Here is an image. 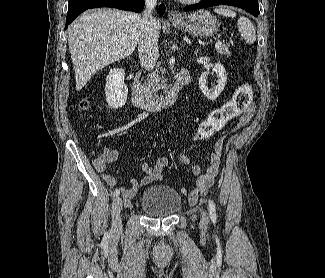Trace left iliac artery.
Masks as SVG:
<instances>
[{
    "label": "left iliac artery",
    "instance_id": "44dca946",
    "mask_svg": "<svg viewBox=\"0 0 325 278\" xmlns=\"http://www.w3.org/2000/svg\"><path fill=\"white\" fill-rule=\"evenodd\" d=\"M208 206H209V212H210V217L212 221H216L217 216H216V208L213 200L209 199L208 201Z\"/></svg>",
    "mask_w": 325,
    "mask_h": 278
}]
</instances>
